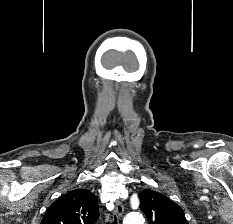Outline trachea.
<instances>
[{
  "mask_svg": "<svg viewBox=\"0 0 233 224\" xmlns=\"http://www.w3.org/2000/svg\"><path fill=\"white\" fill-rule=\"evenodd\" d=\"M112 224H117V218H116V216H115V219H114V221L112 222Z\"/></svg>",
  "mask_w": 233,
  "mask_h": 224,
  "instance_id": "trachea-1",
  "label": "trachea"
}]
</instances>
